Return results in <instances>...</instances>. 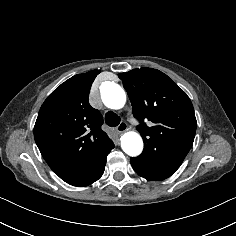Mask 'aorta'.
Masks as SVG:
<instances>
[{"mask_svg": "<svg viewBox=\"0 0 236 236\" xmlns=\"http://www.w3.org/2000/svg\"><path fill=\"white\" fill-rule=\"evenodd\" d=\"M101 98L106 107L115 110L123 108L126 103L125 91L114 82L105 83L101 89ZM121 147L127 155L135 157L143 150V140L137 132L129 131L121 137Z\"/></svg>", "mask_w": 236, "mask_h": 236, "instance_id": "aorta-1", "label": "aorta"}]
</instances>
